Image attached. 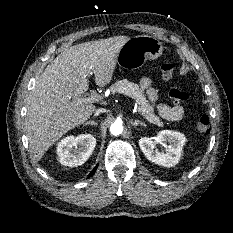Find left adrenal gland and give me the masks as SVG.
Instances as JSON below:
<instances>
[{"label": "left adrenal gland", "mask_w": 233, "mask_h": 233, "mask_svg": "<svg viewBox=\"0 0 233 233\" xmlns=\"http://www.w3.org/2000/svg\"><path fill=\"white\" fill-rule=\"evenodd\" d=\"M130 123H131V125L134 126V127L138 126L139 124H140V125H143V126H146L145 122H142V121H140V120H131Z\"/></svg>", "instance_id": "left-adrenal-gland-1"}]
</instances>
